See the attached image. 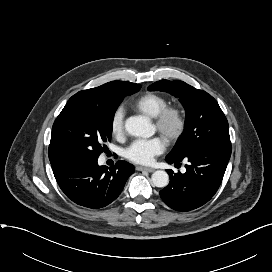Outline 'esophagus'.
Listing matches in <instances>:
<instances>
[{"label":"esophagus","mask_w":272,"mask_h":272,"mask_svg":"<svg viewBox=\"0 0 272 272\" xmlns=\"http://www.w3.org/2000/svg\"><path fill=\"white\" fill-rule=\"evenodd\" d=\"M136 169L138 171H146V172H149V173L154 172V169L153 168H149V167L138 166Z\"/></svg>","instance_id":"34e87169"}]
</instances>
